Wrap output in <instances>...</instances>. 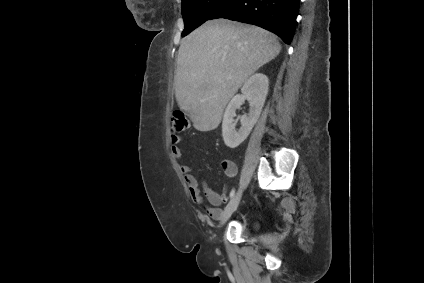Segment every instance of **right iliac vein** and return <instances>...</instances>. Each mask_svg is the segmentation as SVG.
I'll use <instances>...</instances> for the list:
<instances>
[{"label": "right iliac vein", "instance_id": "63e3f726", "mask_svg": "<svg viewBox=\"0 0 424 283\" xmlns=\"http://www.w3.org/2000/svg\"><path fill=\"white\" fill-rule=\"evenodd\" d=\"M242 196V192L238 191L235 196L232 198V200L229 202L227 207L225 208L222 217H221V225L225 224L227 220L230 218L232 213L237 209L240 199Z\"/></svg>", "mask_w": 424, "mask_h": 283}]
</instances>
